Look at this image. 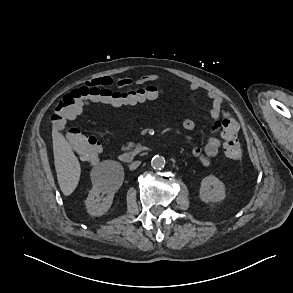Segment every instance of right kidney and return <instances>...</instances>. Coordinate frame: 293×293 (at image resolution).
I'll use <instances>...</instances> for the list:
<instances>
[{
    "label": "right kidney",
    "instance_id": "right-kidney-1",
    "mask_svg": "<svg viewBox=\"0 0 293 293\" xmlns=\"http://www.w3.org/2000/svg\"><path fill=\"white\" fill-rule=\"evenodd\" d=\"M105 164L109 169L107 177L94 181L85 200L87 212L91 216H102L110 209L114 194L122 184L124 176L122 166L115 161H105ZM115 174H117V180H115ZM101 193H108V195L102 199Z\"/></svg>",
    "mask_w": 293,
    "mask_h": 293
}]
</instances>
